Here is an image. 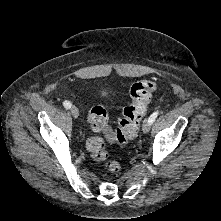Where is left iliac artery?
<instances>
[{
	"instance_id": "left-iliac-artery-1",
	"label": "left iliac artery",
	"mask_w": 221,
	"mask_h": 221,
	"mask_svg": "<svg viewBox=\"0 0 221 221\" xmlns=\"http://www.w3.org/2000/svg\"><path fill=\"white\" fill-rule=\"evenodd\" d=\"M158 111H155L153 114H151L150 115V117H149V122L152 124L154 121H155V119L157 118V116H158Z\"/></svg>"
}]
</instances>
